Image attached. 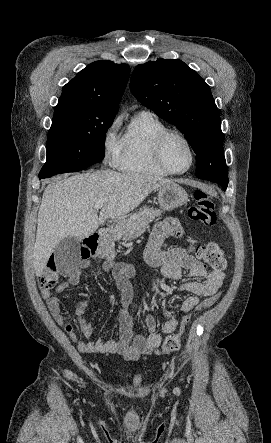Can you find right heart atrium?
I'll list each match as a JSON object with an SVG mask.
<instances>
[{"instance_id":"1","label":"right heart atrium","mask_w":271,"mask_h":443,"mask_svg":"<svg viewBox=\"0 0 271 443\" xmlns=\"http://www.w3.org/2000/svg\"><path fill=\"white\" fill-rule=\"evenodd\" d=\"M123 121L122 113L117 114L109 123L102 138L103 153L105 159L114 165L121 152V140L118 137V130Z\"/></svg>"}]
</instances>
